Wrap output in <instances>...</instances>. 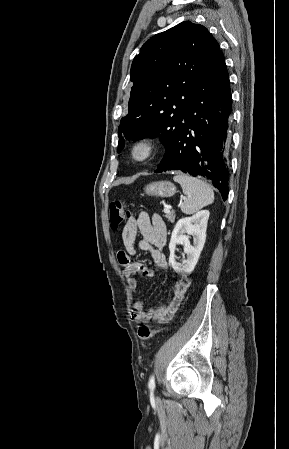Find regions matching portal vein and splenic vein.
Listing matches in <instances>:
<instances>
[{"mask_svg":"<svg viewBox=\"0 0 289 449\" xmlns=\"http://www.w3.org/2000/svg\"><path fill=\"white\" fill-rule=\"evenodd\" d=\"M164 212L165 213H169L170 212V208L169 207L164 208Z\"/></svg>","mask_w":289,"mask_h":449,"instance_id":"18ae733b","label":"portal vein and splenic vein"}]
</instances>
